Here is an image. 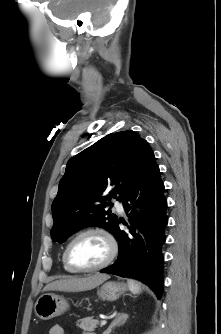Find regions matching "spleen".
<instances>
[{"instance_id": "1", "label": "spleen", "mask_w": 221, "mask_h": 334, "mask_svg": "<svg viewBox=\"0 0 221 334\" xmlns=\"http://www.w3.org/2000/svg\"><path fill=\"white\" fill-rule=\"evenodd\" d=\"M128 288L131 291V293L134 295L139 294L141 292L139 283H137L136 281L132 279L128 280Z\"/></svg>"}]
</instances>
